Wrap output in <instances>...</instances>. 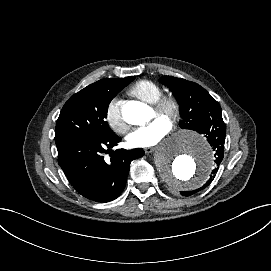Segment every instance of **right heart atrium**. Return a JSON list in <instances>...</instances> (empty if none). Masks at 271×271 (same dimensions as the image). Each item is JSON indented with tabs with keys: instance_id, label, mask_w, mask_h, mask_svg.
I'll return each mask as SVG.
<instances>
[{
	"instance_id": "right-heart-atrium-1",
	"label": "right heart atrium",
	"mask_w": 271,
	"mask_h": 271,
	"mask_svg": "<svg viewBox=\"0 0 271 271\" xmlns=\"http://www.w3.org/2000/svg\"><path fill=\"white\" fill-rule=\"evenodd\" d=\"M120 105L121 98L119 95L110 97L105 106V121L115 132L125 134L128 130V124Z\"/></svg>"
}]
</instances>
